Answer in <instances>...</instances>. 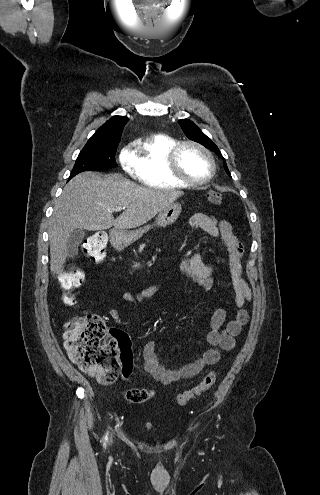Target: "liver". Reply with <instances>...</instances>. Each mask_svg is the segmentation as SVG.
<instances>
[{
  "instance_id": "obj_1",
  "label": "liver",
  "mask_w": 320,
  "mask_h": 495,
  "mask_svg": "<svg viewBox=\"0 0 320 495\" xmlns=\"http://www.w3.org/2000/svg\"><path fill=\"white\" fill-rule=\"evenodd\" d=\"M182 191L143 188L120 174L75 176L64 187L49 225L50 271L59 274L69 255L67 239L75 229L118 231L139 227L173 203ZM125 211L114 219L112 209Z\"/></svg>"
}]
</instances>
